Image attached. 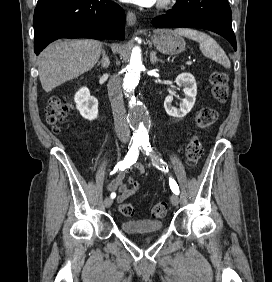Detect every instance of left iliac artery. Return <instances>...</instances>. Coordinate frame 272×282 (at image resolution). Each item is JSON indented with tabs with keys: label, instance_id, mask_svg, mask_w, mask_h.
<instances>
[{
	"label": "left iliac artery",
	"instance_id": "obj_1",
	"mask_svg": "<svg viewBox=\"0 0 272 282\" xmlns=\"http://www.w3.org/2000/svg\"><path fill=\"white\" fill-rule=\"evenodd\" d=\"M140 145H141V147L147 152V154H148L149 152H151L152 149H151V145H150V143H149L148 138H147V139H142V140L140 141ZM160 169H165V168H164V162H163V161H162V165H161V168H160ZM166 169L168 170V167H166ZM169 185H170V188H171L172 192H173L174 194L178 195V194H179V187H178V185H177V183L175 182L174 179L169 178Z\"/></svg>",
	"mask_w": 272,
	"mask_h": 282
}]
</instances>
